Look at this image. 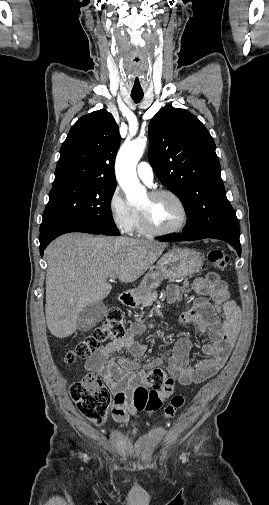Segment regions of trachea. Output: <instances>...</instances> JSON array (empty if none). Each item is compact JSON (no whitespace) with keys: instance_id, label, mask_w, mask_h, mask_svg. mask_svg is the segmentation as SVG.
Listing matches in <instances>:
<instances>
[{"instance_id":"3493384b","label":"trachea","mask_w":269,"mask_h":505,"mask_svg":"<svg viewBox=\"0 0 269 505\" xmlns=\"http://www.w3.org/2000/svg\"><path fill=\"white\" fill-rule=\"evenodd\" d=\"M143 92H131V98L136 102H140L143 99Z\"/></svg>"}]
</instances>
